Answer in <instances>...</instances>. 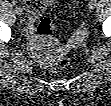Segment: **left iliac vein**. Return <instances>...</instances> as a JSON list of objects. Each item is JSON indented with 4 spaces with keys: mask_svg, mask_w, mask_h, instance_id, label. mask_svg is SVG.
<instances>
[{
    "mask_svg": "<svg viewBox=\"0 0 111 106\" xmlns=\"http://www.w3.org/2000/svg\"><path fill=\"white\" fill-rule=\"evenodd\" d=\"M95 6H96V1H91V2L89 3V8H90V9H94Z\"/></svg>",
    "mask_w": 111,
    "mask_h": 106,
    "instance_id": "4c4485c4",
    "label": "left iliac vein"
}]
</instances>
